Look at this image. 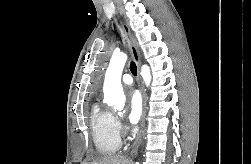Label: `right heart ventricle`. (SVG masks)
Here are the masks:
<instances>
[{
    "label": "right heart ventricle",
    "mask_w": 251,
    "mask_h": 164,
    "mask_svg": "<svg viewBox=\"0 0 251 164\" xmlns=\"http://www.w3.org/2000/svg\"><path fill=\"white\" fill-rule=\"evenodd\" d=\"M90 125L97 152L101 155L116 153L120 146V137L115 127L114 115L94 104L90 114Z\"/></svg>",
    "instance_id": "1"
}]
</instances>
